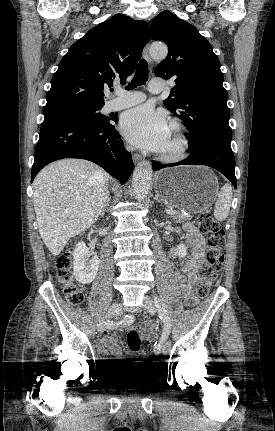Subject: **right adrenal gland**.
<instances>
[{
	"mask_svg": "<svg viewBox=\"0 0 275 431\" xmlns=\"http://www.w3.org/2000/svg\"><path fill=\"white\" fill-rule=\"evenodd\" d=\"M109 203H110V197H108V198H107V200H106V202H105V204H104V206H103V209H102V211H101V216H104L105 211L107 210V208H108V206H109Z\"/></svg>",
	"mask_w": 275,
	"mask_h": 431,
	"instance_id": "obj_1",
	"label": "right adrenal gland"
}]
</instances>
